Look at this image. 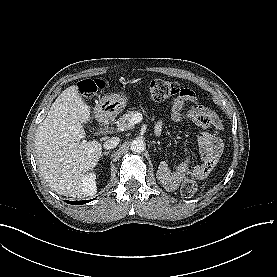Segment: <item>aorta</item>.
Instances as JSON below:
<instances>
[{
    "label": "aorta",
    "mask_w": 277,
    "mask_h": 277,
    "mask_svg": "<svg viewBox=\"0 0 277 277\" xmlns=\"http://www.w3.org/2000/svg\"><path fill=\"white\" fill-rule=\"evenodd\" d=\"M146 144L143 139L141 138H136L131 141L130 143V149L134 153H141L145 150Z\"/></svg>",
    "instance_id": "1"
}]
</instances>
